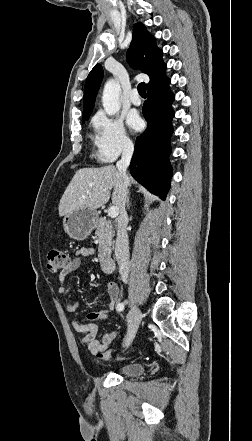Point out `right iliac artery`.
<instances>
[{"mask_svg": "<svg viewBox=\"0 0 252 441\" xmlns=\"http://www.w3.org/2000/svg\"><path fill=\"white\" fill-rule=\"evenodd\" d=\"M123 309H124V305L122 303L118 304L117 310L118 311H123Z\"/></svg>", "mask_w": 252, "mask_h": 441, "instance_id": "right-iliac-artery-1", "label": "right iliac artery"}]
</instances>
